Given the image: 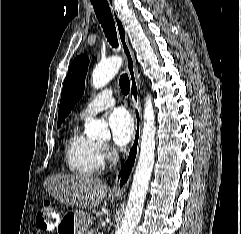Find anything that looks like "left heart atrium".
<instances>
[{"mask_svg": "<svg viewBox=\"0 0 241 234\" xmlns=\"http://www.w3.org/2000/svg\"><path fill=\"white\" fill-rule=\"evenodd\" d=\"M113 144L122 148L128 144L133 135V121L124 109L114 110L108 117Z\"/></svg>", "mask_w": 241, "mask_h": 234, "instance_id": "obj_1", "label": "left heart atrium"}]
</instances>
